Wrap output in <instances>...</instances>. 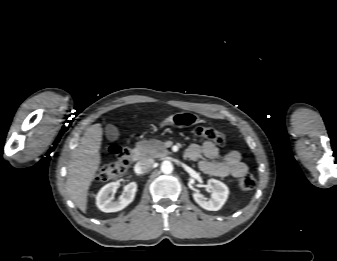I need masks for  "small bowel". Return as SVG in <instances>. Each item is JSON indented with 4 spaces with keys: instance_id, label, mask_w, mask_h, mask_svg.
Wrapping results in <instances>:
<instances>
[{
    "instance_id": "small-bowel-1",
    "label": "small bowel",
    "mask_w": 337,
    "mask_h": 261,
    "mask_svg": "<svg viewBox=\"0 0 337 261\" xmlns=\"http://www.w3.org/2000/svg\"><path fill=\"white\" fill-rule=\"evenodd\" d=\"M187 158L193 161L199 160V169L208 175L217 177H241L247 171V165L242 162L241 155L237 151H229L220 158L218 147L211 141L202 144H191L185 151ZM202 157L207 160H201Z\"/></svg>"
}]
</instances>
